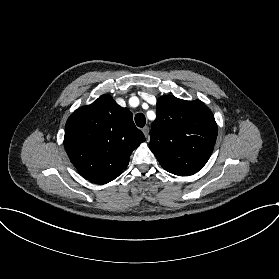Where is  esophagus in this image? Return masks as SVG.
<instances>
[{
  "label": "esophagus",
  "mask_w": 279,
  "mask_h": 279,
  "mask_svg": "<svg viewBox=\"0 0 279 279\" xmlns=\"http://www.w3.org/2000/svg\"><path fill=\"white\" fill-rule=\"evenodd\" d=\"M142 132L144 133L145 137H147L148 134H149V127H148V126H145V127L142 129Z\"/></svg>",
  "instance_id": "34e87169"
}]
</instances>
